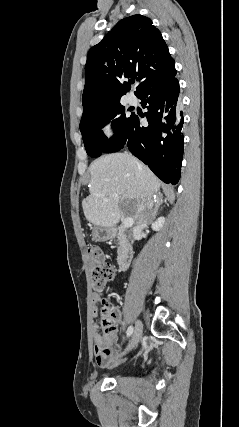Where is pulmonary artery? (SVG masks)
Here are the masks:
<instances>
[{
	"mask_svg": "<svg viewBox=\"0 0 239 427\" xmlns=\"http://www.w3.org/2000/svg\"><path fill=\"white\" fill-rule=\"evenodd\" d=\"M127 101H128L129 104L133 105V104L136 103L137 99H136V97L134 95H129L128 98H127Z\"/></svg>",
	"mask_w": 239,
	"mask_h": 427,
	"instance_id": "obj_1",
	"label": "pulmonary artery"
}]
</instances>
